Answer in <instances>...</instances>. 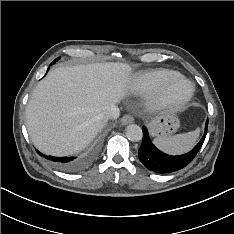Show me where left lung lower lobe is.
Returning a JSON list of instances; mask_svg holds the SVG:
<instances>
[{
  "instance_id": "0a47b994",
  "label": "left lung lower lobe",
  "mask_w": 234,
  "mask_h": 234,
  "mask_svg": "<svg viewBox=\"0 0 234 234\" xmlns=\"http://www.w3.org/2000/svg\"><path fill=\"white\" fill-rule=\"evenodd\" d=\"M208 129V120L205 124V132L199 143L188 153L179 156H170L158 150L151 142L145 126L143 130V140L138 155L140 161L151 171L156 173H169L187 166L200 150Z\"/></svg>"
}]
</instances>
